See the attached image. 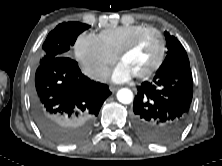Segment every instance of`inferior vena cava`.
I'll list each match as a JSON object with an SVG mask.
<instances>
[{
    "mask_svg": "<svg viewBox=\"0 0 222 166\" xmlns=\"http://www.w3.org/2000/svg\"><path fill=\"white\" fill-rule=\"evenodd\" d=\"M88 76L91 79L103 82L107 80L108 77L110 76V71L107 67H102V68H98V69L90 71L88 73Z\"/></svg>",
    "mask_w": 222,
    "mask_h": 166,
    "instance_id": "obj_1",
    "label": "inferior vena cava"
}]
</instances>
